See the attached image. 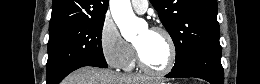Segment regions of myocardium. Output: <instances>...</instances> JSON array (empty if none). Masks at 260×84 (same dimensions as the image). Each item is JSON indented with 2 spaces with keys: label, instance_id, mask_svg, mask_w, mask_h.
<instances>
[{
  "label": "myocardium",
  "instance_id": "1",
  "mask_svg": "<svg viewBox=\"0 0 260 84\" xmlns=\"http://www.w3.org/2000/svg\"><path fill=\"white\" fill-rule=\"evenodd\" d=\"M149 31L152 32V33L162 34L165 37V39L167 40V43H168V46H169V51H170L167 65L163 69H160V70L153 69V68L149 67L144 62L139 48L135 45L134 50H135V56H136L137 64L143 72H145L149 75H152V76L168 75L174 69L176 61H177V46H176L174 37L170 33L169 30H167L166 28H164L162 26H153L149 29Z\"/></svg>",
  "mask_w": 260,
  "mask_h": 84
}]
</instances>
